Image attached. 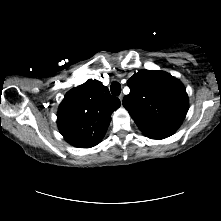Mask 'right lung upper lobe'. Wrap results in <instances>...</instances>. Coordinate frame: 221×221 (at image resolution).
<instances>
[{
    "instance_id": "1",
    "label": "right lung upper lobe",
    "mask_w": 221,
    "mask_h": 221,
    "mask_svg": "<svg viewBox=\"0 0 221 221\" xmlns=\"http://www.w3.org/2000/svg\"><path fill=\"white\" fill-rule=\"evenodd\" d=\"M120 101L98 80H88L70 90L61 102L57 123L71 145L89 148L97 145L106 133L111 114Z\"/></svg>"
}]
</instances>
